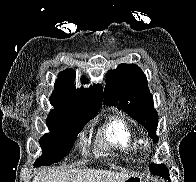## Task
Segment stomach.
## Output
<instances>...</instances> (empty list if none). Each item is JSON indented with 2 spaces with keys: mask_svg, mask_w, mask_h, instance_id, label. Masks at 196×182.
Returning a JSON list of instances; mask_svg holds the SVG:
<instances>
[{
  "mask_svg": "<svg viewBox=\"0 0 196 182\" xmlns=\"http://www.w3.org/2000/svg\"><path fill=\"white\" fill-rule=\"evenodd\" d=\"M125 182H148V180L143 179L141 175H133L129 177Z\"/></svg>",
  "mask_w": 196,
  "mask_h": 182,
  "instance_id": "stomach-1",
  "label": "stomach"
}]
</instances>
